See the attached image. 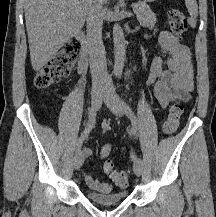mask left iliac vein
Returning a JSON list of instances; mask_svg holds the SVG:
<instances>
[{
  "label": "left iliac vein",
  "instance_id": "obj_1",
  "mask_svg": "<svg viewBox=\"0 0 216 217\" xmlns=\"http://www.w3.org/2000/svg\"><path fill=\"white\" fill-rule=\"evenodd\" d=\"M104 102L110 111L116 115L121 117L123 115V106L119 96L114 91L113 87H107L104 90ZM133 171L136 176H140L142 174V164L140 160L134 161L133 163Z\"/></svg>",
  "mask_w": 216,
  "mask_h": 217
}]
</instances>
